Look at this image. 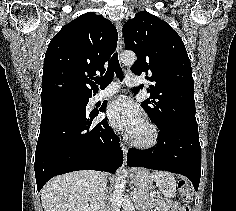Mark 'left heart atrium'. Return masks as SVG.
Wrapping results in <instances>:
<instances>
[{
  "label": "left heart atrium",
  "instance_id": "obj_1",
  "mask_svg": "<svg viewBox=\"0 0 236 211\" xmlns=\"http://www.w3.org/2000/svg\"><path fill=\"white\" fill-rule=\"evenodd\" d=\"M105 117L113 127L128 134H132L142 123L139 108L124 96L108 104Z\"/></svg>",
  "mask_w": 236,
  "mask_h": 211
}]
</instances>
